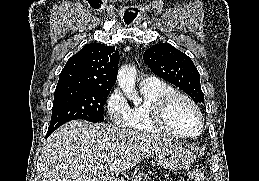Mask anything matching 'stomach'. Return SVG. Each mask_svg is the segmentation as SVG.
<instances>
[{"label": "stomach", "mask_w": 259, "mask_h": 181, "mask_svg": "<svg viewBox=\"0 0 259 181\" xmlns=\"http://www.w3.org/2000/svg\"><path fill=\"white\" fill-rule=\"evenodd\" d=\"M158 164L169 170L188 168L193 162V154L178 143H171L169 147L156 154Z\"/></svg>", "instance_id": "obj_1"}]
</instances>
